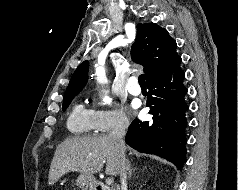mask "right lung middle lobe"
Wrapping results in <instances>:
<instances>
[{
	"mask_svg": "<svg viewBox=\"0 0 238 190\" xmlns=\"http://www.w3.org/2000/svg\"><path fill=\"white\" fill-rule=\"evenodd\" d=\"M77 95V93L74 94H68L66 96H64V101H63V111L66 110V108L69 106L70 102L72 101V99L74 98V96Z\"/></svg>",
	"mask_w": 238,
	"mask_h": 190,
	"instance_id": "right-lung-middle-lobe-1",
	"label": "right lung middle lobe"
}]
</instances>
